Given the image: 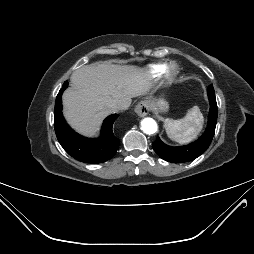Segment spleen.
<instances>
[{
    "label": "spleen",
    "mask_w": 254,
    "mask_h": 254,
    "mask_svg": "<svg viewBox=\"0 0 254 254\" xmlns=\"http://www.w3.org/2000/svg\"><path fill=\"white\" fill-rule=\"evenodd\" d=\"M203 115L198 106L189 109L182 119L164 120V127L168 137L180 144L191 142L197 137L203 127Z\"/></svg>",
    "instance_id": "1"
}]
</instances>
